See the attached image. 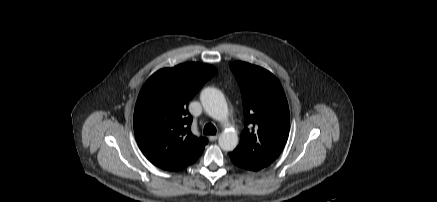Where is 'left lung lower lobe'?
Segmentation results:
<instances>
[{
	"label": "left lung lower lobe",
	"mask_w": 437,
	"mask_h": 202,
	"mask_svg": "<svg viewBox=\"0 0 437 202\" xmlns=\"http://www.w3.org/2000/svg\"><path fill=\"white\" fill-rule=\"evenodd\" d=\"M230 159L232 160V162L240 167L243 168L245 170H250V171H258L260 169H262L263 167L260 165H257L249 160H247L246 158L242 157L241 155H239L238 153L235 152H230L229 153Z\"/></svg>",
	"instance_id": "1"
}]
</instances>
